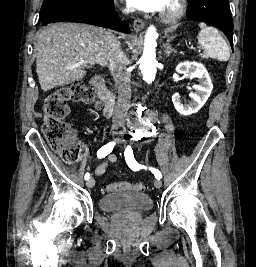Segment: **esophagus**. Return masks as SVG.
<instances>
[{"label":"esophagus","instance_id":"esophagus-1","mask_svg":"<svg viewBox=\"0 0 256 267\" xmlns=\"http://www.w3.org/2000/svg\"><path fill=\"white\" fill-rule=\"evenodd\" d=\"M133 27H134L135 32H140L144 27L143 20H141L140 18H137L136 20H134Z\"/></svg>","mask_w":256,"mask_h":267}]
</instances>
